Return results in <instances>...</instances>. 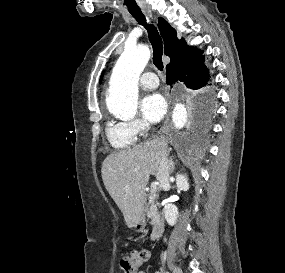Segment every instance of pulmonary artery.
Segmentation results:
<instances>
[{"instance_id": "e3ab8cb5", "label": "pulmonary artery", "mask_w": 285, "mask_h": 273, "mask_svg": "<svg viewBox=\"0 0 285 273\" xmlns=\"http://www.w3.org/2000/svg\"><path fill=\"white\" fill-rule=\"evenodd\" d=\"M140 85L145 89H155L159 85V80L155 73L145 72L140 78Z\"/></svg>"}]
</instances>
